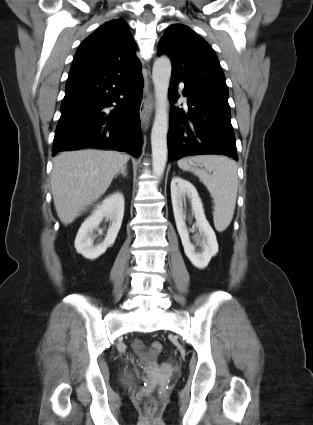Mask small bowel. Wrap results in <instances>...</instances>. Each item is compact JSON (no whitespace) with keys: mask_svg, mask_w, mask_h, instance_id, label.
<instances>
[{"mask_svg":"<svg viewBox=\"0 0 313 425\" xmlns=\"http://www.w3.org/2000/svg\"><path fill=\"white\" fill-rule=\"evenodd\" d=\"M134 346H135V348H136L137 350H140V349L142 348V344H141V342H140V341H136V342L134 343Z\"/></svg>","mask_w":313,"mask_h":425,"instance_id":"c3829d8e","label":"small bowel"}]
</instances>
